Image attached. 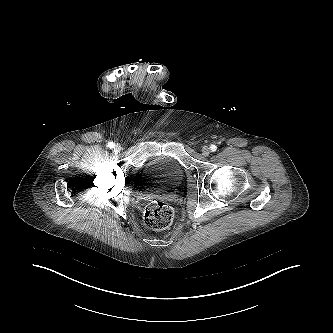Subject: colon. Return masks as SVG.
<instances>
[{
	"label": "colon",
	"instance_id": "5ec220e1",
	"mask_svg": "<svg viewBox=\"0 0 333 333\" xmlns=\"http://www.w3.org/2000/svg\"><path fill=\"white\" fill-rule=\"evenodd\" d=\"M173 217V209L168 204L160 201L148 204L143 213L145 224L154 230H162L169 227Z\"/></svg>",
	"mask_w": 333,
	"mask_h": 333
}]
</instances>
